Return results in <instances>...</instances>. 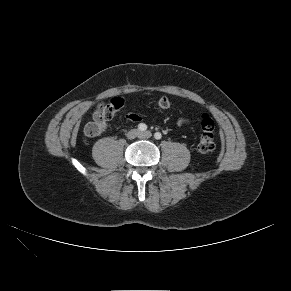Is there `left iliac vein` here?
<instances>
[{
  "label": "left iliac vein",
  "mask_w": 291,
  "mask_h": 291,
  "mask_svg": "<svg viewBox=\"0 0 291 291\" xmlns=\"http://www.w3.org/2000/svg\"><path fill=\"white\" fill-rule=\"evenodd\" d=\"M152 136L150 131L140 132L139 137L141 138H150Z\"/></svg>",
  "instance_id": "obj_1"
}]
</instances>
